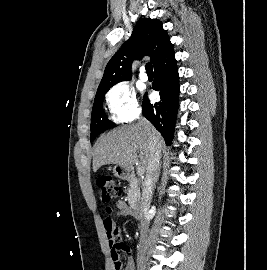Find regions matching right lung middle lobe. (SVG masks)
Returning a JSON list of instances; mask_svg holds the SVG:
<instances>
[{
  "label": "right lung middle lobe",
  "mask_w": 267,
  "mask_h": 270,
  "mask_svg": "<svg viewBox=\"0 0 267 270\" xmlns=\"http://www.w3.org/2000/svg\"><path fill=\"white\" fill-rule=\"evenodd\" d=\"M109 89L100 91L96 93L93 109H92V115H91V134H90V140L91 142L94 141V139L102 132L111 129L115 126L113 122L108 120L107 116L104 113L103 110V99L104 95Z\"/></svg>",
  "instance_id": "obj_1"
}]
</instances>
